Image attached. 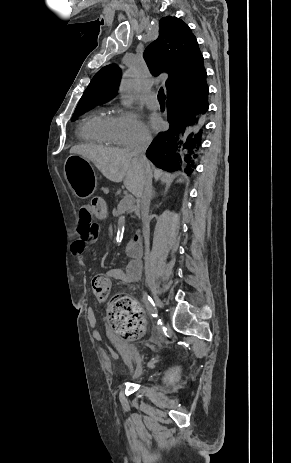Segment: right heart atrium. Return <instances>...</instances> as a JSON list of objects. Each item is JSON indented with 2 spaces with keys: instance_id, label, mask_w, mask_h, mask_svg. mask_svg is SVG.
<instances>
[{
  "instance_id": "d8ad5b80",
  "label": "right heart atrium",
  "mask_w": 291,
  "mask_h": 463,
  "mask_svg": "<svg viewBox=\"0 0 291 463\" xmlns=\"http://www.w3.org/2000/svg\"><path fill=\"white\" fill-rule=\"evenodd\" d=\"M113 129L117 143L124 147L147 143L150 140L147 128L131 110H118L114 116Z\"/></svg>"
}]
</instances>
